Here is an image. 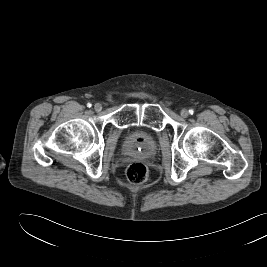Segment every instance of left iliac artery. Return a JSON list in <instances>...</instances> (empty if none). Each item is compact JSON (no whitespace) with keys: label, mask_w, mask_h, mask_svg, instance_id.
<instances>
[{"label":"left iliac artery","mask_w":267,"mask_h":267,"mask_svg":"<svg viewBox=\"0 0 267 267\" xmlns=\"http://www.w3.org/2000/svg\"><path fill=\"white\" fill-rule=\"evenodd\" d=\"M189 114L193 115L194 114V110L193 109H189Z\"/></svg>","instance_id":"obj_1"}]
</instances>
